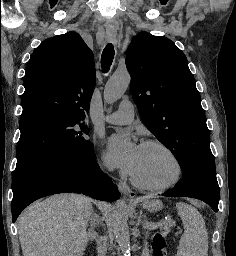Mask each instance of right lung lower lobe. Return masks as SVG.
I'll list each match as a JSON object with an SVG mask.
<instances>
[{
	"label": "right lung lower lobe",
	"mask_w": 236,
	"mask_h": 256,
	"mask_svg": "<svg viewBox=\"0 0 236 256\" xmlns=\"http://www.w3.org/2000/svg\"><path fill=\"white\" fill-rule=\"evenodd\" d=\"M12 220L33 201L58 193H83L115 201L121 193L102 172L93 149L85 153L50 152L16 164L12 178Z\"/></svg>",
	"instance_id": "right-lung-lower-lobe-1"
}]
</instances>
